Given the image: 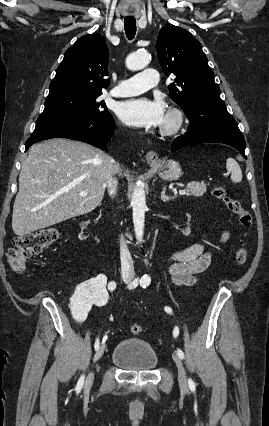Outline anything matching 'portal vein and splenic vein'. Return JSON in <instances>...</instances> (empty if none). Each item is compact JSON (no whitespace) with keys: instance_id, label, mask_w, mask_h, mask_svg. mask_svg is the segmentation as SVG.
I'll return each mask as SVG.
<instances>
[{"instance_id":"portal-vein-and-splenic-vein-1","label":"portal vein and splenic vein","mask_w":269,"mask_h":426,"mask_svg":"<svg viewBox=\"0 0 269 426\" xmlns=\"http://www.w3.org/2000/svg\"><path fill=\"white\" fill-rule=\"evenodd\" d=\"M87 194H88L87 191L80 192V196H86ZM179 194L180 195H184V194H186V191L185 190H181V191H179Z\"/></svg>"}]
</instances>
